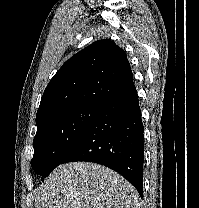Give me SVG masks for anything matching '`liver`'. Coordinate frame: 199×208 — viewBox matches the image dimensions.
I'll return each mask as SVG.
<instances>
[{"label":"liver","mask_w":199,"mask_h":208,"mask_svg":"<svg viewBox=\"0 0 199 208\" xmlns=\"http://www.w3.org/2000/svg\"><path fill=\"white\" fill-rule=\"evenodd\" d=\"M35 208H140L139 194L115 171L89 162L59 165L35 194Z\"/></svg>","instance_id":"obj_1"}]
</instances>
